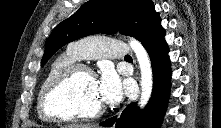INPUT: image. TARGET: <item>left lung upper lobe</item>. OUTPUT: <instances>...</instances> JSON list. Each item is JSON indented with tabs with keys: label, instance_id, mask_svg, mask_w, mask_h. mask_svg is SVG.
Segmentation results:
<instances>
[{
	"label": "left lung upper lobe",
	"instance_id": "5c2ea615",
	"mask_svg": "<svg viewBox=\"0 0 221 128\" xmlns=\"http://www.w3.org/2000/svg\"><path fill=\"white\" fill-rule=\"evenodd\" d=\"M159 20L151 0H90L54 28L41 66L65 44L88 35L120 32L143 43Z\"/></svg>",
	"mask_w": 221,
	"mask_h": 128
}]
</instances>
